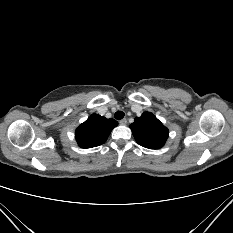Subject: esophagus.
I'll return each instance as SVG.
<instances>
[{"mask_svg": "<svg viewBox=\"0 0 233 233\" xmlns=\"http://www.w3.org/2000/svg\"><path fill=\"white\" fill-rule=\"evenodd\" d=\"M120 125H126L127 124V120L124 118L122 120L119 121Z\"/></svg>", "mask_w": 233, "mask_h": 233, "instance_id": "1", "label": "esophagus"}]
</instances>
